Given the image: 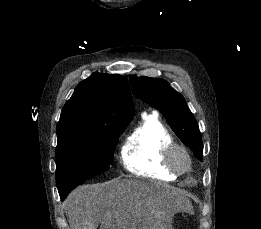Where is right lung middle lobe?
<instances>
[{
  "label": "right lung middle lobe",
  "mask_w": 261,
  "mask_h": 229,
  "mask_svg": "<svg viewBox=\"0 0 261 229\" xmlns=\"http://www.w3.org/2000/svg\"><path fill=\"white\" fill-rule=\"evenodd\" d=\"M128 124L99 127L95 133L56 147V182L61 199L113 164L114 148Z\"/></svg>",
  "instance_id": "1"
}]
</instances>
